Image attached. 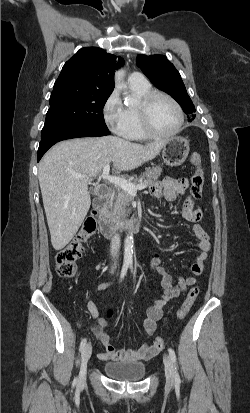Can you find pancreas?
<instances>
[{
	"instance_id": "pancreas-1",
	"label": "pancreas",
	"mask_w": 250,
	"mask_h": 413,
	"mask_svg": "<svg viewBox=\"0 0 250 413\" xmlns=\"http://www.w3.org/2000/svg\"><path fill=\"white\" fill-rule=\"evenodd\" d=\"M162 172V166L158 165L153 168H147L144 173L138 178L132 180L133 184L145 183L147 186L153 185ZM133 201V196L121 187L116 189V192L109 201L110 216L112 219L125 218L131 211L130 205Z\"/></svg>"
}]
</instances>
